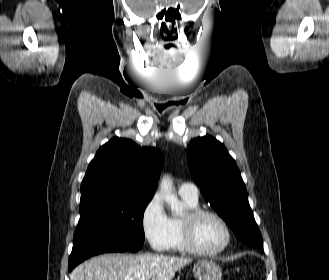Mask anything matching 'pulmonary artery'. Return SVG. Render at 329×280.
<instances>
[{"label": "pulmonary artery", "mask_w": 329, "mask_h": 280, "mask_svg": "<svg viewBox=\"0 0 329 280\" xmlns=\"http://www.w3.org/2000/svg\"><path fill=\"white\" fill-rule=\"evenodd\" d=\"M178 191L179 194L182 196H186L192 200H198L199 190L198 187L193 183H189V182L182 183L179 186Z\"/></svg>", "instance_id": "obj_1"}]
</instances>
